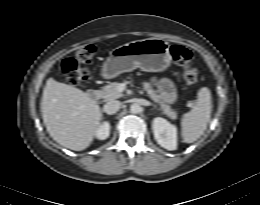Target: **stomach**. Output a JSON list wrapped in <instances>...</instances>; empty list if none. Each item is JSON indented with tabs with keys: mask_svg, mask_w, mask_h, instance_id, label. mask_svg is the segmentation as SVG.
<instances>
[{
	"mask_svg": "<svg viewBox=\"0 0 260 205\" xmlns=\"http://www.w3.org/2000/svg\"><path fill=\"white\" fill-rule=\"evenodd\" d=\"M169 48V43L161 38L136 40L116 47L105 61L102 75L112 79L135 68L147 72L163 71L172 61Z\"/></svg>",
	"mask_w": 260,
	"mask_h": 205,
	"instance_id": "0dacf381",
	"label": "stomach"
}]
</instances>
